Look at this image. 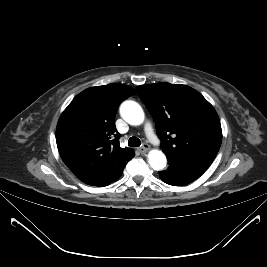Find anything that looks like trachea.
<instances>
[{"label": "trachea", "mask_w": 267, "mask_h": 267, "mask_svg": "<svg viewBox=\"0 0 267 267\" xmlns=\"http://www.w3.org/2000/svg\"><path fill=\"white\" fill-rule=\"evenodd\" d=\"M128 145L131 147H139L141 145L140 139L135 136L129 138Z\"/></svg>", "instance_id": "trachea-1"}]
</instances>
